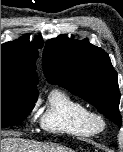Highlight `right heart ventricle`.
Masks as SVG:
<instances>
[{
    "instance_id": "1",
    "label": "right heart ventricle",
    "mask_w": 123,
    "mask_h": 152,
    "mask_svg": "<svg viewBox=\"0 0 123 152\" xmlns=\"http://www.w3.org/2000/svg\"><path fill=\"white\" fill-rule=\"evenodd\" d=\"M88 108L66 92L51 91L41 116L44 130L77 138H88L95 133L86 123Z\"/></svg>"
}]
</instances>
